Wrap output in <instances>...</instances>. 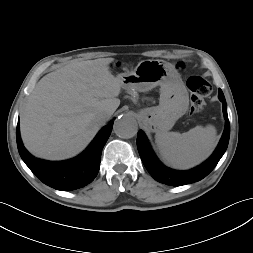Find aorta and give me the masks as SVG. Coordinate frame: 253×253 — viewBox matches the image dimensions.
I'll return each mask as SVG.
<instances>
[{
  "instance_id": "obj_1",
  "label": "aorta",
  "mask_w": 253,
  "mask_h": 253,
  "mask_svg": "<svg viewBox=\"0 0 253 253\" xmlns=\"http://www.w3.org/2000/svg\"><path fill=\"white\" fill-rule=\"evenodd\" d=\"M113 130L121 138H132L137 134L138 124L131 115H120L114 123Z\"/></svg>"
}]
</instances>
